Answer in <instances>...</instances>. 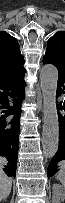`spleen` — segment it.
I'll list each match as a JSON object with an SVG mask.
<instances>
[{
    "instance_id": "spleen-1",
    "label": "spleen",
    "mask_w": 65,
    "mask_h": 203,
    "mask_svg": "<svg viewBox=\"0 0 65 203\" xmlns=\"http://www.w3.org/2000/svg\"><path fill=\"white\" fill-rule=\"evenodd\" d=\"M60 165L61 167L56 176V179L59 180L62 185H64L65 184V164L61 163Z\"/></svg>"
}]
</instances>
